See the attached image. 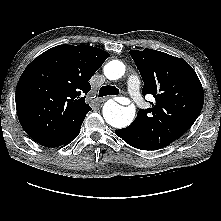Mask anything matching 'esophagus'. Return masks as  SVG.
<instances>
[{"mask_svg": "<svg viewBox=\"0 0 221 221\" xmlns=\"http://www.w3.org/2000/svg\"><path fill=\"white\" fill-rule=\"evenodd\" d=\"M108 98L107 97H104V98H100V102H104V101H106Z\"/></svg>", "mask_w": 221, "mask_h": 221, "instance_id": "34e87169", "label": "esophagus"}]
</instances>
